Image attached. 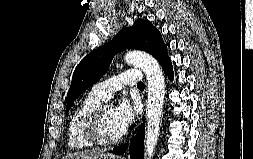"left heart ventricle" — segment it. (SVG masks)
<instances>
[{
    "instance_id": "obj_1",
    "label": "left heart ventricle",
    "mask_w": 253,
    "mask_h": 159,
    "mask_svg": "<svg viewBox=\"0 0 253 159\" xmlns=\"http://www.w3.org/2000/svg\"><path fill=\"white\" fill-rule=\"evenodd\" d=\"M101 131L103 136L107 139H113L122 134L115 119L114 108L111 106L106 108L103 112Z\"/></svg>"
}]
</instances>
